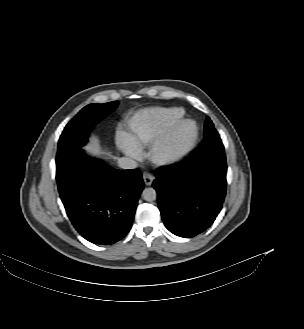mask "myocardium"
Returning a JSON list of instances; mask_svg holds the SVG:
<instances>
[{
    "mask_svg": "<svg viewBox=\"0 0 304 329\" xmlns=\"http://www.w3.org/2000/svg\"><path fill=\"white\" fill-rule=\"evenodd\" d=\"M192 126V131L184 135V128ZM199 135V127L193 119H181L170 130L151 145L148 158L156 166H169L181 161L194 147Z\"/></svg>",
    "mask_w": 304,
    "mask_h": 329,
    "instance_id": "myocardium-1",
    "label": "myocardium"
}]
</instances>
